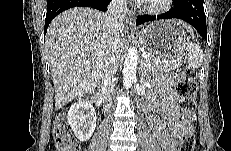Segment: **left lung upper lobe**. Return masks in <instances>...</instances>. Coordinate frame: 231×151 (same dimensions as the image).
<instances>
[{
    "label": "left lung upper lobe",
    "instance_id": "1",
    "mask_svg": "<svg viewBox=\"0 0 231 151\" xmlns=\"http://www.w3.org/2000/svg\"><path fill=\"white\" fill-rule=\"evenodd\" d=\"M179 1H180V0H174V3H173V4H174V6H173V7L178 6V5H179Z\"/></svg>",
    "mask_w": 231,
    "mask_h": 151
}]
</instances>
